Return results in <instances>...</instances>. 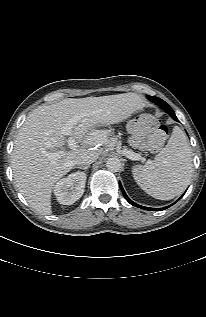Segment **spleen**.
I'll use <instances>...</instances> for the list:
<instances>
[{"instance_id":"obj_1","label":"spleen","mask_w":206,"mask_h":317,"mask_svg":"<svg viewBox=\"0 0 206 317\" xmlns=\"http://www.w3.org/2000/svg\"><path fill=\"white\" fill-rule=\"evenodd\" d=\"M193 172L191 151L184 132L173 128L167 145L153 161L132 168L136 183L146 193L160 200L180 195L188 186Z\"/></svg>"}]
</instances>
